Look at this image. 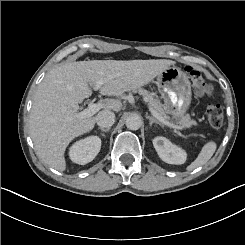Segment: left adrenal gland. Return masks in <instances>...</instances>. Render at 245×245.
Masks as SVG:
<instances>
[{"label": "left adrenal gland", "instance_id": "a2214340", "mask_svg": "<svg viewBox=\"0 0 245 245\" xmlns=\"http://www.w3.org/2000/svg\"><path fill=\"white\" fill-rule=\"evenodd\" d=\"M146 118L149 119V124L151 125L153 122L159 123L160 125H163L162 122H160L159 120H157L156 118L152 117L151 115L148 114V112H146L145 115Z\"/></svg>", "mask_w": 245, "mask_h": 245}]
</instances>
